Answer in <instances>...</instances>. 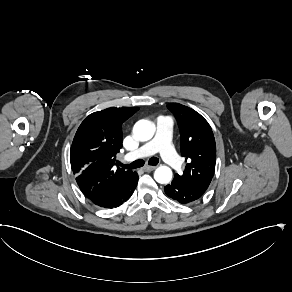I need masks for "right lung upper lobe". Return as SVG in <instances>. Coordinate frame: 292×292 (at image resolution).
I'll return each mask as SVG.
<instances>
[{"label": "right lung upper lobe", "instance_id": "1", "mask_svg": "<svg viewBox=\"0 0 292 292\" xmlns=\"http://www.w3.org/2000/svg\"><path fill=\"white\" fill-rule=\"evenodd\" d=\"M139 108H108L87 116L79 126L70 149L76 182L92 202L113 196L136 172L125 171L116 163L122 148V124Z\"/></svg>", "mask_w": 292, "mask_h": 292}]
</instances>
